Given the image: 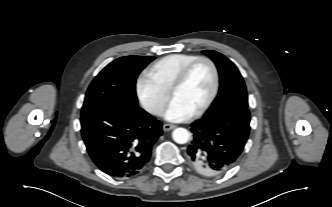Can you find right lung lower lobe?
I'll use <instances>...</instances> for the list:
<instances>
[{
  "label": "right lung lower lobe",
  "mask_w": 332,
  "mask_h": 207,
  "mask_svg": "<svg viewBox=\"0 0 332 207\" xmlns=\"http://www.w3.org/2000/svg\"><path fill=\"white\" fill-rule=\"evenodd\" d=\"M81 133L97 167L112 177H130L149 162L162 123L140 107H102L81 114Z\"/></svg>",
  "instance_id": "obj_1"
}]
</instances>
